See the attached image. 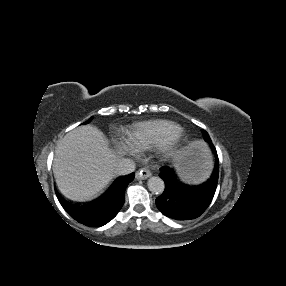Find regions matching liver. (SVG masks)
<instances>
[{"label": "liver", "mask_w": 286, "mask_h": 286, "mask_svg": "<svg viewBox=\"0 0 286 286\" xmlns=\"http://www.w3.org/2000/svg\"><path fill=\"white\" fill-rule=\"evenodd\" d=\"M116 160L100 130L90 125L77 127L55 150L53 174L58 189L72 200L91 199L114 178Z\"/></svg>", "instance_id": "6515ba94"}]
</instances>
